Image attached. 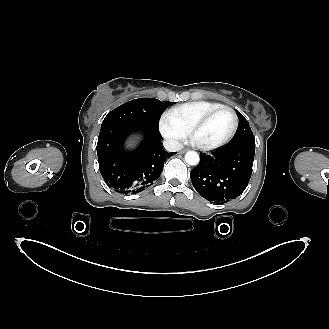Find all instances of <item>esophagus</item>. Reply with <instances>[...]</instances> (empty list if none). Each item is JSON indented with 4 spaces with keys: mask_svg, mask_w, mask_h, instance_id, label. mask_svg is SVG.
Returning <instances> with one entry per match:
<instances>
[{
    "mask_svg": "<svg viewBox=\"0 0 329 329\" xmlns=\"http://www.w3.org/2000/svg\"><path fill=\"white\" fill-rule=\"evenodd\" d=\"M185 152H187V149H183V150H181L179 153H180V154H184Z\"/></svg>",
    "mask_w": 329,
    "mask_h": 329,
    "instance_id": "obj_1",
    "label": "esophagus"
}]
</instances>
